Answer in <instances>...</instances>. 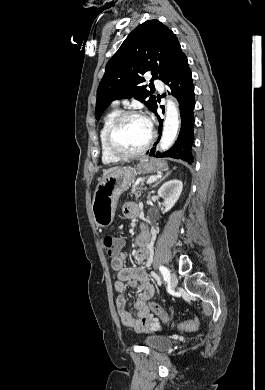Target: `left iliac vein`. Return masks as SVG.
I'll return each instance as SVG.
<instances>
[{"label": "left iliac vein", "mask_w": 265, "mask_h": 390, "mask_svg": "<svg viewBox=\"0 0 265 390\" xmlns=\"http://www.w3.org/2000/svg\"><path fill=\"white\" fill-rule=\"evenodd\" d=\"M178 283V279L175 273L170 274V285L172 288H175Z\"/></svg>", "instance_id": "left-iliac-vein-1"}]
</instances>
